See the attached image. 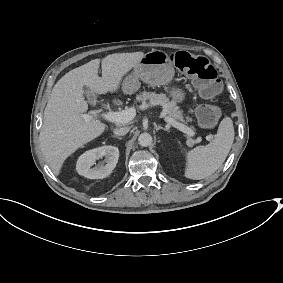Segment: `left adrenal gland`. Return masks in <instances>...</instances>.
I'll use <instances>...</instances> for the list:
<instances>
[{"label": "left adrenal gland", "mask_w": 283, "mask_h": 283, "mask_svg": "<svg viewBox=\"0 0 283 283\" xmlns=\"http://www.w3.org/2000/svg\"><path fill=\"white\" fill-rule=\"evenodd\" d=\"M155 129H156V131H158V130H160V129H162V130H164V131H169L167 128H164V127H162V126H160V125H155Z\"/></svg>", "instance_id": "1"}]
</instances>
